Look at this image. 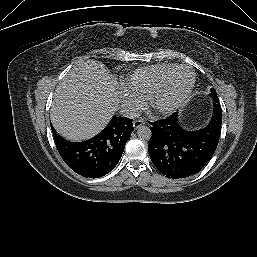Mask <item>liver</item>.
<instances>
[{"label":"liver","mask_w":257,"mask_h":257,"mask_svg":"<svg viewBox=\"0 0 257 257\" xmlns=\"http://www.w3.org/2000/svg\"><path fill=\"white\" fill-rule=\"evenodd\" d=\"M117 107L116 81L103 63L92 59L73 67L59 83L50 117L59 135L81 141L98 134Z\"/></svg>","instance_id":"6515ba94"}]
</instances>
